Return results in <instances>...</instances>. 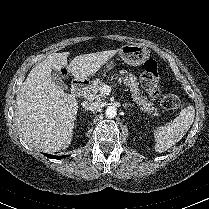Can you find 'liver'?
Instances as JSON below:
<instances>
[{
  "label": "liver",
  "instance_id": "obj_1",
  "mask_svg": "<svg viewBox=\"0 0 209 209\" xmlns=\"http://www.w3.org/2000/svg\"><path fill=\"white\" fill-rule=\"evenodd\" d=\"M118 50L76 56L68 65L69 52L52 53L28 74L17 92L15 123L23 139L44 152L68 148L78 102L52 78V69L62 68L79 80L94 75Z\"/></svg>",
  "mask_w": 209,
  "mask_h": 209
}]
</instances>
